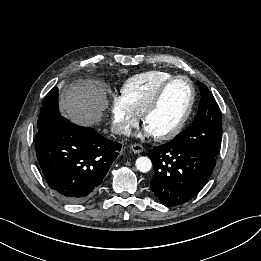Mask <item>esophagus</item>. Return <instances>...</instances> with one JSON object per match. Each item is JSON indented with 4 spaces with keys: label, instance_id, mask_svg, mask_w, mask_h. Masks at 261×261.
<instances>
[{
    "label": "esophagus",
    "instance_id": "1",
    "mask_svg": "<svg viewBox=\"0 0 261 261\" xmlns=\"http://www.w3.org/2000/svg\"><path fill=\"white\" fill-rule=\"evenodd\" d=\"M130 149L134 152V153H141L144 151V148L142 145L140 144H133L131 145Z\"/></svg>",
    "mask_w": 261,
    "mask_h": 261
}]
</instances>
